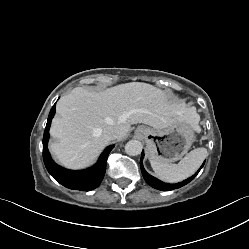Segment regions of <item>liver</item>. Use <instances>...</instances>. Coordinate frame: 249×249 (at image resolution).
<instances>
[{"instance_id":"6515ba94","label":"liver","mask_w":249,"mask_h":249,"mask_svg":"<svg viewBox=\"0 0 249 249\" xmlns=\"http://www.w3.org/2000/svg\"><path fill=\"white\" fill-rule=\"evenodd\" d=\"M195 113V107L171 101L164 91L147 83H125L101 92L76 87L56 105L50 129L55 141L50 150L63 166L83 168L108 145L107 128L116 129V139L122 140L132 124L165 129L178 119L191 117L194 130L199 131L200 117Z\"/></svg>"}]
</instances>
